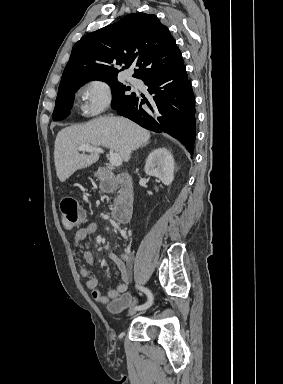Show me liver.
I'll use <instances>...</instances> for the list:
<instances>
[{
  "mask_svg": "<svg viewBox=\"0 0 283 384\" xmlns=\"http://www.w3.org/2000/svg\"><path fill=\"white\" fill-rule=\"evenodd\" d=\"M150 132L140 128L127 118H97L84 126L63 128L55 140L54 162L57 178L66 182L76 170L88 168L99 160L98 152L79 154L82 144H91L93 148H110L121 160L128 162L132 150H137L150 140Z\"/></svg>",
  "mask_w": 283,
  "mask_h": 384,
  "instance_id": "liver-1",
  "label": "liver"
}]
</instances>
